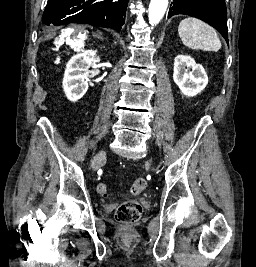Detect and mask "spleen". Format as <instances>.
Returning a JSON list of instances; mask_svg holds the SVG:
<instances>
[{
  "mask_svg": "<svg viewBox=\"0 0 256 267\" xmlns=\"http://www.w3.org/2000/svg\"><path fill=\"white\" fill-rule=\"evenodd\" d=\"M178 34L182 44L191 50H204V52H218L221 42L216 30L197 20V18H185L179 24Z\"/></svg>",
  "mask_w": 256,
  "mask_h": 267,
  "instance_id": "spleen-1",
  "label": "spleen"
}]
</instances>
